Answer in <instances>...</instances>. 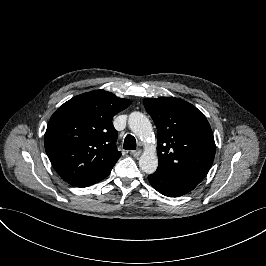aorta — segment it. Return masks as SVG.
Wrapping results in <instances>:
<instances>
[{
  "instance_id": "762f6f07",
  "label": "aorta",
  "mask_w": 266,
  "mask_h": 266,
  "mask_svg": "<svg viewBox=\"0 0 266 266\" xmlns=\"http://www.w3.org/2000/svg\"><path fill=\"white\" fill-rule=\"evenodd\" d=\"M128 127L137 136H152V126L149 119L139 111L131 112L128 115ZM139 168L147 175H152L158 168V158L153 153L143 154L138 161Z\"/></svg>"
}]
</instances>
